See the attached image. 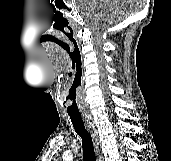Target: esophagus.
I'll list each match as a JSON object with an SVG mask.
<instances>
[{
	"mask_svg": "<svg viewBox=\"0 0 171 161\" xmlns=\"http://www.w3.org/2000/svg\"><path fill=\"white\" fill-rule=\"evenodd\" d=\"M84 119L88 125V127L91 129V134H92V138L94 140V145H95V150L98 156V161H101V157L99 156V149H98V132L97 129L95 127L93 118L90 114L84 113L83 114Z\"/></svg>",
	"mask_w": 171,
	"mask_h": 161,
	"instance_id": "1",
	"label": "esophagus"
}]
</instances>
